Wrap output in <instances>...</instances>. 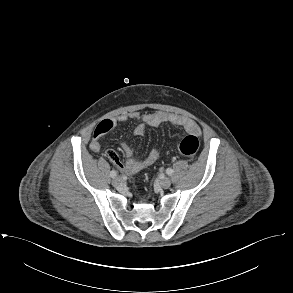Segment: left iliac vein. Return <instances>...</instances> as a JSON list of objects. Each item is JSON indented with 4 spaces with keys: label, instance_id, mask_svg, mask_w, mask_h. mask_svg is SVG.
Instances as JSON below:
<instances>
[{
    "label": "left iliac vein",
    "instance_id": "4c4485c4",
    "mask_svg": "<svg viewBox=\"0 0 293 293\" xmlns=\"http://www.w3.org/2000/svg\"><path fill=\"white\" fill-rule=\"evenodd\" d=\"M159 184L162 188L167 189L171 185V180L167 177H164L160 180Z\"/></svg>",
    "mask_w": 293,
    "mask_h": 293
}]
</instances>
